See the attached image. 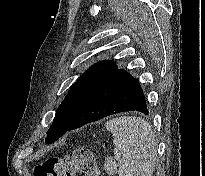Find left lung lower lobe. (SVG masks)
<instances>
[{
  "instance_id": "0a47b994",
  "label": "left lung lower lobe",
  "mask_w": 205,
  "mask_h": 176,
  "mask_svg": "<svg viewBox=\"0 0 205 176\" xmlns=\"http://www.w3.org/2000/svg\"><path fill=\"white\" fill-rule=\"evenodd\" d=\"M125 111L148 114L140 83L124 69H118L80 104L67 131Z\"/></svg>"
}]
</instances>
